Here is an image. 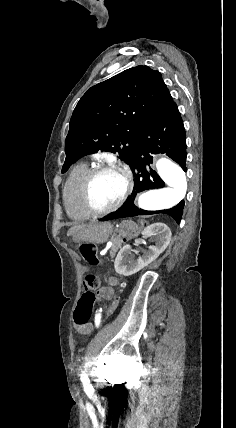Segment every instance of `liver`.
Wrapping results in <instances>:
<instances>
[{
  "mask_svg": "<svg viewBox=\"0 0 236 428\" xmlns=\"http://www.w3.org/2000/svg\"><path fill=\"white\" fill-rule=\"evenodd\" d=\"M86 224H80V226H72V228H70V230H68L67 232V236H73V238H75V236H77V234H80V232H82L83 228H85Z\"/></svg>",
  "mask_w": 236,
  "mask_h": 428,
  "instance_id": "1",
  "label": "liver"
}]
</instances>
